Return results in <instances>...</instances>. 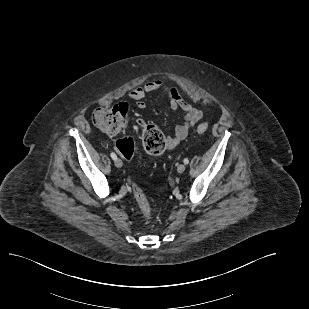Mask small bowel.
<instances>
[{
	"instance_id": "obj_1",
	"label": "small bowel",
	"mask_w": 309,
	"mask_h": 309,
	"mask_svg": "<svg viewBox=\"0 0 309 309\" xmlns=\"http://www.w3.org/2000/svg\"><path fill=\"white\" fill-rule=\"evenodd\" d=\"M150 93H157L172 110L182 112L180 122L176 125L173 134L166 139V147L173 149L187 137L190 128L202 118L203 113L186 102L177 88L162 80L148 81L142 86L133 88L129 92V97L136 102L139 109H144L145 100ZM138 123L141 127L146 125L142 119Z\"/></svg>"
}]
</instances>
